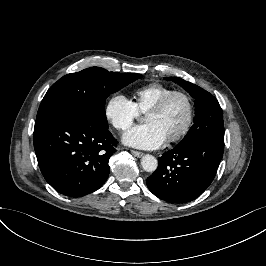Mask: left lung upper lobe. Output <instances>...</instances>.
<instances>
[{
  "instance_id": "left-lung-upper-lobe-1",
  "label": "left lung upper lobe",
  "mask_w": 266,
  "mask_h": 266,
  "mask_svg": "<svg viewBox=\"0 0 266 266\" xmlns=\"http://www.w3.org/2000/svg\"><path fill=\"white\" fill-rule=\"evenodd\" d=\"M182 86L194 99L196 117L183 140L176 146L182 147L202 138L224 140V123L221 107L217 99L201 87L179 77H166Z\"/></svg>"
}]
</instances>
